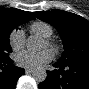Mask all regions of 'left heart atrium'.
Instances as JSON below:
<instances>
[{"label":"left heart atrium","mask_w":89,"mask_h":89,"mask_svg":"<svg viewBox=\"0 0 89 89\" xmlns=\"http://www.w3.org/2000/svg\"><path fill=\"white\" fill-rule=\"evenodd\" d=\"M53 57V53L49 49H44L41 52L33 53L22 51L15 55L16 63L24 68H37L43 63L49 62Z\"/></svg>","instance_id":"1"}]
</instances>
